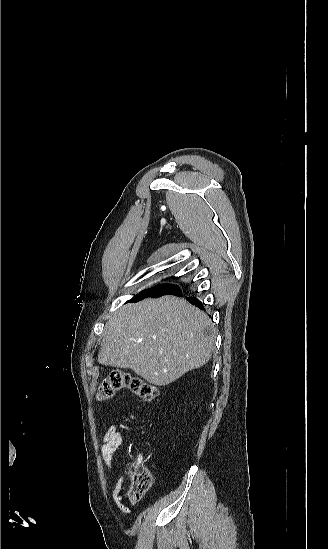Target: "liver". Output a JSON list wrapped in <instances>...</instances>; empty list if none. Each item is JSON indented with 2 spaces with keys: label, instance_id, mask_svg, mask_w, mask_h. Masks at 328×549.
<instances>
[{
  "label": "liver",
  "instance_id": "6515ba94",
  "mask_svg": "<svg viewBox=\"0 0 328 549\" xmlns=\"http://www.w3.org/2000/svg\"><path fill=\"white\" fill-rule=\"evenodd\" d=\"M215 335L208 315L185 299H144L112 313L98 363L129 367L151 385L162 387L208 363Z\"/></svg>",
  "mask_w": 328,
  "mask_h": 549
}]
</instances>
